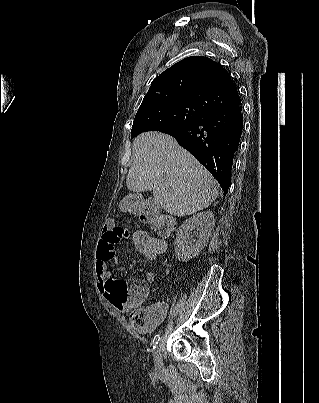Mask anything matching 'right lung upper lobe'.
Returning <instances> with one entry per match:
<instances>
[{
	"label": "right lung upper lobe",
	"mask_w": 319,
	"mask_h": 403,
	"mask_svg": "<svg viewBox=\"0 0 319 403\" xmlns=\"http://www.w3.org/2000/svg\"><path fill=\"white\" fill-rule=\"evenodd\" d=\"M160 103H191L211 112L238 106L241 100L225 68L207 57L193 56L156 77L138 111Z\"/></svg>",
	"instance_id": "right-lung-upper-lobe-1"
}]
</instances>
